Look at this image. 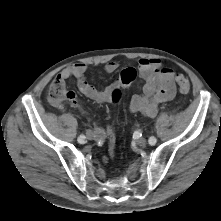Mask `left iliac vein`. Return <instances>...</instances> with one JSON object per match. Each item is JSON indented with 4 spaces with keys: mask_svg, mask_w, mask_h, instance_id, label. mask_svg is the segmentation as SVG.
Here are the masks:
<instances>
[{
    "mask_svg": "<svg viewBox=\"0 0 221 221\" xmlns=\"http://www.w3.org/2000/svg\"><path fill=\"white\" fill-rule=\"evenodd\" d=\"M136 143L139 145V146H145L146 143H147V140L143 137L137 139Z\"/></svg>",
    "mask_w": 221,
    "mask_h": 221,
    "instance_id": "obj_1",
    "label": "left iliac vein"
}]
</instances>
